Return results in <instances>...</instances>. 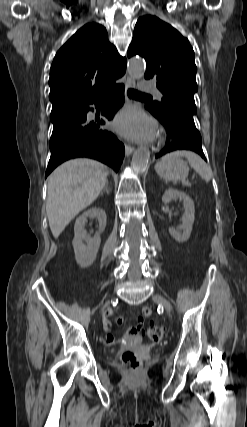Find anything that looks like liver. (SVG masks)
Segmentation results:
<instances>
[{"label":"liver","mask_w":247,"mask_h":427,"mask_svg":"<svg viewBox=\"0 0 247 427\" xmlns=\"http://www.w3.org/2000/svg\"><path fill=\"white\" fill-rule=\"evenodd\" d=\"M108 169L95 160L78 158L57 167L48 178L46 212L58 238L79 212L91 205L107 182Z\"/></svg>","instance_id":"obj_1"}]
</instances>
